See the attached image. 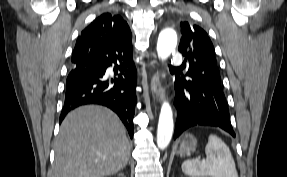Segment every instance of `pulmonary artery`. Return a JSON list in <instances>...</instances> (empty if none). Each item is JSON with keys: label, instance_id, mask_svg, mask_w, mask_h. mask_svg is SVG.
Returning a JSON list of instances; mask_svg holds the SVG:
<instances>
[{"label": "pulmonary artery", "instance_id": "obj_1", "mask_svg": "<svg viewBox=\"0 0 287 177\" xmlns=\"http://www.w3.org/2000/svg\"><path fill=\"white\" fill-rule=\"evenodd\" d=\"M183 62V57L179 52H175L171 59V64L173 67L180 66Z\"/></svg>", "mask_w": 287, "mask_h": 177}]
</instances>
